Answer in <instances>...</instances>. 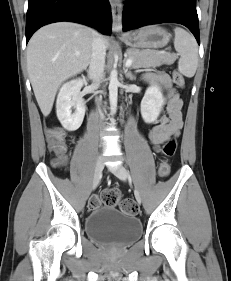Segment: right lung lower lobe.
<instances>
[{"instance_id": "right-lung-lower-lobe-1", "label": "right lung lower lobe", "mask_w": 231, "mask_h": 281, "mask_svg": "<svg viewBox=\"0 0 231 281\" xmlns=\"http://www.w3.org/2000/svg\"><path fill=\"white\" fill-rule=\"evenodd\" d=\"M59 21L81 23L110 34L112 14L108 0H29L26 43L40 27Z\"/></svg>"}]
</instances>
